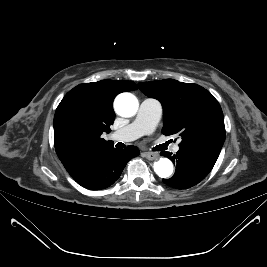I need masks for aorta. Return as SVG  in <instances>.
I'll return each mask as SVG.
<instances>
[{"mask_svg": "<svg viewBox=\"0 0 267 267\" xmlns=\"http://www.w3.org/2000/svg\"><path fill=\"white\" fill-rule=\"evenodd\" d=\"M115 111L122 117H132L136 114L139 103L137 98L131 93H121L114 101ZM155 173L161 178H168L173 173V164L167 159L163 158L153 165Z\"/></svg>", "mask_w": 267, "mask_h": 267, "instance_id": "1", "label": "aorta"}]
</instances>
